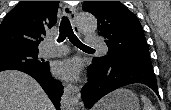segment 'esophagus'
<instances>
[{
	"mask_svg": "<svg viewBox=\"0 0 171 110\" xmlns=\"http://www.w3.org/2000/svg\"><path fill=\"white\" fill-rule=\"evenodd\" d=\"M63 13L70 18L72 27L78 31L76 24L77 8L65 5ZM80 99L79 87L73 84H66L64 87V94L61 99V108L63 110H72L78 106Z\"/></svg>",
	"mask_w": 171,
	"mask_h": 110,
	"instance_id": "34e87169",
	"label": "esophagus"
}]
</instances>
